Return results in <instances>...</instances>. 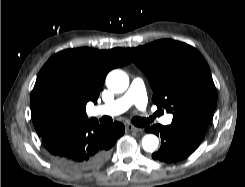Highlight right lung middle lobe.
Segmentation results:
<instances>
[{
	"instance_id": "1",
	"label": "right lung middle lobe",
	"mask_w": 245,
	"mask_h": 187,
	"mask_svg": "<svg viewBox=\"0 0 245 187\" xmlns=\"http://www.w3.org/2000/svg\"><path fill=\"white\" fill-rule=\"evenodd\" d=\"M42 102L51 109L62 110L65 104V98L56 90H48L43 94Z\"/></svg>"
}]
</instances>
